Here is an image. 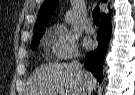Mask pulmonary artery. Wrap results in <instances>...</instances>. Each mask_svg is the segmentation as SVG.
<instances>
[{
	"label": "pulmonary artery",
	"mask_w": 135,
	"mask_h": 95,
	"mask_svg": "<svg viewBox=\"0 0 135 95\" xmlns=\"http://www.w3.org/2000/svg\"><path fill=\"white\" fill-rule=\"evenodd\" d=\"M84 29L88 33L94 32L95 29H94V26H93V24H92L90 19H87V21L85 23V26H84Z\"/></svg>",
	"instance_id": "1"
}]
</instances>
